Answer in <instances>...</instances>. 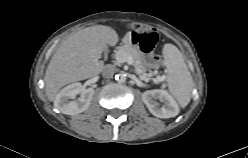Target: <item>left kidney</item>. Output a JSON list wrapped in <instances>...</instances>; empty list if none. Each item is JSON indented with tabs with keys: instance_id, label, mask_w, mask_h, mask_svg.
Wrapping results in <instances>:
<instances>
[{
	"instance_id": "1",
	"label": "left kidney",
	"mask_w": 248,
	"mask_h": 158,
	"mask_svg": "<svg viewBox=\"0 0 248 158\" xmlns=\"http://www.w3.org/2000/svg\"><path fill=\"white\" fill-rule=\"evenodd\" d=\"M159 100L162 103L160 106ZM142 101L149 111L158 118H171L179 113V107L173 97L165 90H148L142 94Z\"/></svg>"
}]
</instances>
